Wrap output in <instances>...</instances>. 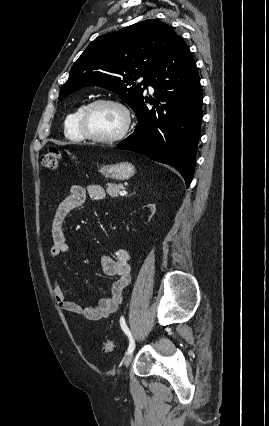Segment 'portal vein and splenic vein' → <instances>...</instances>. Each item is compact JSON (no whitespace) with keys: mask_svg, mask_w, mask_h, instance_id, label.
Returning <instances> with one entry per match:
<instances>
[{"mask_svg":"<svg viewBox=\"0 0 269 426\" xmlns=\"http://www.w3.org/2000/svg\"><path fill=\"white\" fill-rule=\"evenodd\" d=\"M119 194H120L121 196H125V195L127 194V192H126V191H121Z\"/></svg>","mask_w":269,"mask_h":426,"instance_id":"obj_1","label":"portal vein and splenic vein"}]
</instances>
